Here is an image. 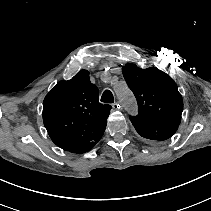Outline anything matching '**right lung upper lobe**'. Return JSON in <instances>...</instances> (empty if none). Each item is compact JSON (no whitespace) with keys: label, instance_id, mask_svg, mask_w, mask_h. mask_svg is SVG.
<instances>
[{"label":"right lung upper lobe","instance_id":"right-lung-upper-lobe-1","mask_svg":"<svg viewBox=\"0 0 211 211\" xmlns=\"http://www.w3.org/2000/svg\"><path fill=\"white\" fill-rule=\"evenodd\" d=\"M98 97L87 70L58 82L46 95L43 122L57 146L71 152L101 139L111 106L99 103Z\"/></svg>","mask_w":211,"mask_h":211}]
</instances>
